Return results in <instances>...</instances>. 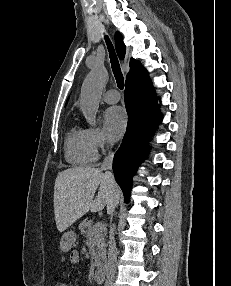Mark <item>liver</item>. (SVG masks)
Returning <instances> with one entry per match:
<instances>
[{
	"mask_svg": "<svg viewBox=\"0 0 231 286\" xmlns=\"http://www.w3.org/2000/svg\"><path fill=\"white\" fill-rule=\"evenodd\" d=\"M97 189L98 194L94 198ZM119 198L117 184L109 181L102 169L76 167L59 172L54 186V214L58 231H65L88 211H101L105 206L114 210Z\"/></svg>",
	"mask_w": 231,
	"mask_h": 286,
	"instance_id": "1",
	"label": "liver"
}]
</instances>
